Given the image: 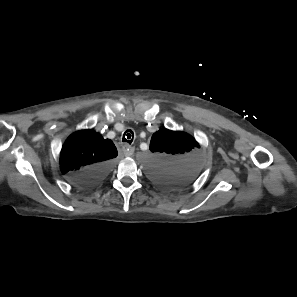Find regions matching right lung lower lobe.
Returning a JSON list of instances; mask_svg holds the SVG:
<instances>
[{"instance_id":"98d812e1","label":"right lung lower lobe","mask_w":297,"mask_h":297,"mask_svg":"<svg viewBox=\"0 0 297 297\" xmlns=\"http://www.w3.org/2000/svg\"><path fill=\"white\" fill-rule=\"evenodd\" d=\"M110 168V163L93 165L70 175V181L78 187L89 188L99 184L106 177Z\"/></svg>"}]
</instances>
